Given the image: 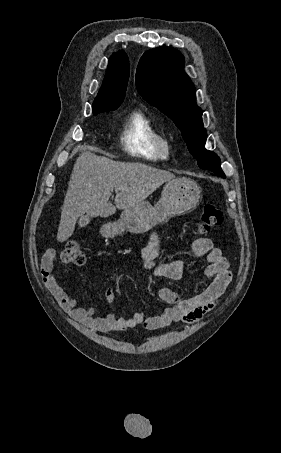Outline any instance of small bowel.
I'll use <instances>...</instances> for the list:
<instances>
[{"label":"small bowel","mask_w":281,"mask_h":453,"mask_svg":"<svg viewBox=\"0 0 281 453\" xmlns=\"http://www.w3.org/2000/svg\"><path fill=\"white\" fill-rule=\"evenodd\" d=\"M160 254V242L158 235L152 233L149 241L143 249L142 263L146 271L154 277L172 280L180 279L185 271L187 263L206 255V276L211 280L205 292L182 298L174 289L161 287L157 291L158 298L170 308L163 309L159 314L147 316L141 311L132 313L127 317H117L114 314L98 316L92 307H84L78 304L54 275L55 262L58 252L49 249L41 259L42 276L46 284L54 292L62 305L76 320L83 322L87 327L97 332L123 331L128 328L143 325L147 330H159L171 324L183 321L194 324L201 321L206 312L211 310L221 299L226 287L231 280V269L228 260L218 249L212 248L210 239H196L186 256L172 261L158 263ZM117 291L114 288H106L102 297L107 302H113Z\"/></svg>","instance_id":"obj_1"}]
</instances>
